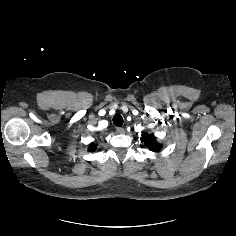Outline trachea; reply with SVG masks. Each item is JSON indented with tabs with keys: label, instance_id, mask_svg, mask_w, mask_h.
I'll return each instance as SVG.
<instances>
[{
	"label": "trachea",
	"instance_id": "obj_1",
	"mask_svg": "<svg viewBox=\"0 0 236 236\" xmlns=\"http://www.w3.org/2000/svg\"><path fill=\"white\" fill-rule=\"evenodd\" d=\"M113 123H114L116 126H118V127L122 126V124H123V118H122V116L119 115V114L114 115V117H113Z\"/></svg>",
	"mask_w": 236,
	"mask_h": 236
}]
</instances>
